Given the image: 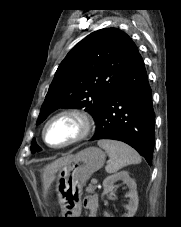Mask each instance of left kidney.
<instances>
[{
  "instance_id": "left-kidney-1",
  "label": "left kidney",
  "mask_w": 181,
  "mask_h": 227,
  "mask_svg": "<svg viewBox=\"0 0 181 227\" xmlns=\"http://www.w3.org/2000/svg\"><path fill=\"white\" fill-rule=\"evenodd\" d=\"M118 180H122L129 188V192L127 194L129 197V203L126 205L127 213L123 217H134L138 208L137 185L136 182L129 176L127 171H121L105 178L103 181V194H107L112 191L114 189V183Z\"/></svg>"
}]
</instances>
